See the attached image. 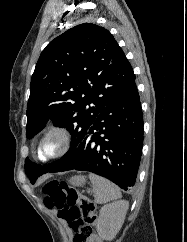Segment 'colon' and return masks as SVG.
<instances>
[{
    "mask_svg": "<svg viewBox=\"0 0 187 242\" xmlns=\"http://www.w3.org/2000/svg\"><path fill=\"white\" fill-rule=\"evenodd\" d=\"M45 205L56 209L58 217L74 231V242H101L94 235L97 222L95 206L90 199L65 182L52 180L43 187Z\"/></svg>",
    "mask_w": 187,
    "mask_h": 242,
    "instance_id": "obj_1",
    "label": "colon"
}]
</instances>
